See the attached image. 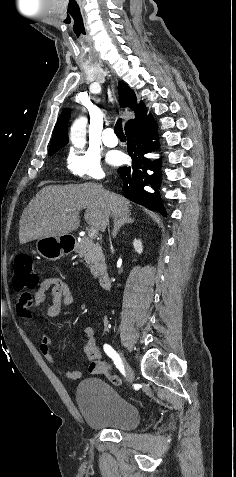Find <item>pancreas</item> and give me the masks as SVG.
Returning a JSON list of instances; mask_svg holds the SVG:
<instances>
[{
  "mask_svg": "<svg viewBox=\"0 0 236 477\" xmlns=\"http://www.w3.org/2000/svg\"><path fill=\"white\" fill-rule=\"evenodd\" d=\"M75 252L84 258L94 278L101 276L106 271L105 258L99 244L89 238H83L76 243Z\"/></svg>",
  "mask_w": 236,
  "mask_h": 477,
  "instance_id": "obj_1",
  "label": "pancreas"
}]
</instances>
